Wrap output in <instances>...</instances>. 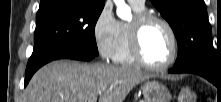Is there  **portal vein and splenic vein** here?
Wrapping results in <instances>:
<instances>
[{"mask_svg": "<svg viewBox=\"0 0 221 102\" xmlns=\"http://www.w3.org/2000/svg\"><path fill=\"white\" fill-rule=\"evenodd\" d=\"M96 97L91 98V100H89V102H96Z\"/></svg>", "mask_w": 221, "mask_h": 102, "instance_id": "portal-vein-and-splenic-vein-1", "label": "portal vein and splenic vein"}]
</instances>
